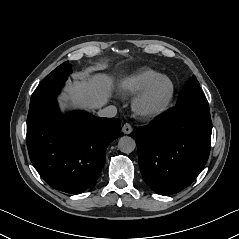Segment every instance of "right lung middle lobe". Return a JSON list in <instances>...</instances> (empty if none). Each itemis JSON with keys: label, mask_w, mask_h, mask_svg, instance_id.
<instances>
[{"label": "right lung middle lobe", "mask_w": 239, "mask_h": 239, "mask_svg": "<svg viewBox=\"0 0 239 239\" xmlns=\"http://www.w3.org/2000/svg\"><path fill=\"white\" fill-rule=\"evenodd\" d=\"M70 73L71 64H69L68 61L62 63L40 83L37 89L33 92L31 99L35 98L50 87L64 83Z\"/></svg>", "instance_id": "right-lung-middle-lobe-1"}]
</instances>
